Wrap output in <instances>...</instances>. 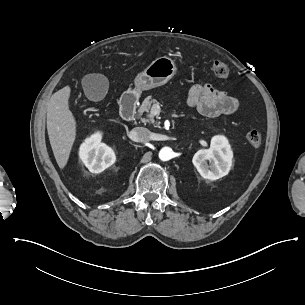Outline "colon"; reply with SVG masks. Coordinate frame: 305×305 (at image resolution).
Instances as JSON below:
<instances>
[{
    "label": "colon",
    "mask_w": 305,
    "mask_h": 305,
    "mask_svg": "<svg viewBox=\"0 0 305 305\" xmlns=\"http://www.w3.org/2000/svg\"><path fill=\"white\" fill-rule=\"evenodd\" d=\"M213 71L218 78L223 80L228 79L230 75V70L228 66L224 62L219 60L213 62ZM246 138L248 143L253 147H259L262 144V134L256 129L248 131L246 134Z\"/></svg>",
    "instance_id": "obj_1"
}]
</instances>
